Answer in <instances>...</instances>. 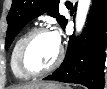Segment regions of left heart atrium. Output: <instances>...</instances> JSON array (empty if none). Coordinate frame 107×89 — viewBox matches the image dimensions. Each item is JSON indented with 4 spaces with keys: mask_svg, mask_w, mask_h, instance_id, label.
Listing matches in <instances>:
<instances>
[{
    "mask_svg": "<svg viewBox=\"0 0 107 89\" xmlns=\"http://www.w3.org/2000/svg\"><path fill=\"white\" fill-rule=\"evenodd\" d=\"M52 36H53L55 42L57 43V45L60 46V42H61L60 33L57 30H55L52 32Z\"/></svg>",
    "mask_w": 107,
    "mask_h": 89,
    "instance_id": "left-heart-atrium-1",
    "label": "left heart atrium"
}]
</instances>
